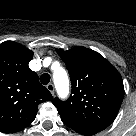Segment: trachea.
Wrapping results in <instances>:
<instances>
[{
	"instance_id": "1",
	"label": "trachea",
	"mask_w": 136,
	"mask_h": 136,
	"mask_svg": "<svg viewBox=\"0 0 136 136\" xmlns=\"http://www.w3.org/2000/svg\"><path fill=\"white\" fill-rule=\"evenodd\" d=\"M40 82L43 85H47L50 82V75L47 73H44L40 76Z\"/></svg>"
}]
</instances>
